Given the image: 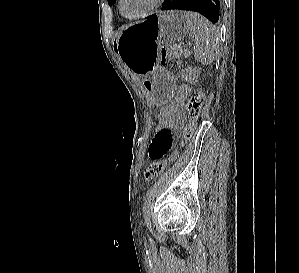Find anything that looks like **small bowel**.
<instances>
[{"label":"small bowel","mask_w":299,"mask_h":273,"mask_svg":"<svg viewBox=\"0 0 299 273\" xmlns=\"http://www.w3.org/2000/svg\"><path fill=\"white\" fill-rule=\"evenodd\" d=\"M184 122L185 117L181 113L171 125L157 128L149 146V157L151 160H159L171 150Z\"/></svg>","instance_id":"obj_1"}]
</instances>
